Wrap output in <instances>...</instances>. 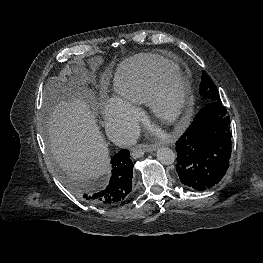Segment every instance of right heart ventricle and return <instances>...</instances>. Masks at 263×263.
<instances>
[{
    "instance_id": "obj_1",
    "label": "right heart ventricle",
    "mask_w": 263,
    "mask_h": 263,
    "mask_svg": "<svg viewBox=\"0 0 263 263\" xmlns=\"http://www.w3.org/2000/svg\"><path fill=\"white\" fill-rule=\"evenodd\" d=\"M176 71L175 64L154 55L131 57L121 63L114 74L117 99L129 106L145 103L154 79L162 73Z\"/></svg>"
}]
</instances>
